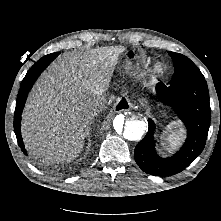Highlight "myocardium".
<instances>
[{"mask_svg":"<svg viewBox=\"0 0 221 221\" xmlns=\"http://www.w3.org/2000/svg\"><path fill=\"white\" fill-rule=\"evenodd\" d=\"M153 71L155 74L161 76L165 73V65L162 62H157L153 67Z\"/></svg>","mask_w":221,"mask_h":221,"instance_id":"f54148a6","label":"myocardium"}]
</instances>
